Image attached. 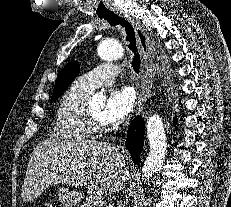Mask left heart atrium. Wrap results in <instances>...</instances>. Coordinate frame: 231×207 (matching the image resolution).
Here are the masks:
<instances>
[{
  "instance_id": "left-heart-atrium-1",
  "label": "left heart atrium",
  "mask_w": 231,
  "mask_h": 207,
  "mask_svg": "<svg viewBox=\"0 0 231 207\" xmlns=\"http://www.w3.org/2000/svg\"><path fill=\"white\" fill-rule=\"evenodd\" d=\"M136 94L130 87L114 89L110 92L103 112V122L116 124L122 121L134 108Z\"/></svg>"
}]
</instances>
